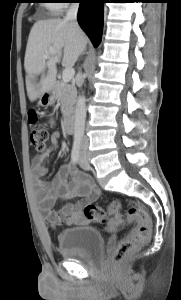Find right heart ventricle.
I'll return each instance as SVG.
<instances>
[{"label":"right heart ventricle","mask_w":181,"mask_h":300,"mask_svg":"<svg viewBox=\"0 0 181 300\" xmlns=\"http://www.w3.org/2000/svg\"><path fill=\"white\" fill-rule=\"evenodd\" d=\"M48 9L51 13L57 14L60 12L58 6L55 3L47 4Z\"/></svg>","instance_id":"obj_1"}]
</instances>
